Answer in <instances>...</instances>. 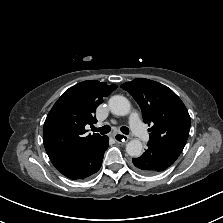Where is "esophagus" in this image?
<instances>
[{
  "instance_id": "obj_1",
  "label": "esophagus",
  "mask_w": 223,
  "mask_h": 223,
  "mask_svg": "<svg viewBox=\"0 0 223 223\" xmlns=\"http://www.w3.org/2000/svg\"><path fill=\"white\" fill-rule=\"evenodd\" d=\"M113 138L118 142V143H126L129 140V137L126 135H123L121 133H116L113 135Z\"/></svg>"
}]
</instances>
